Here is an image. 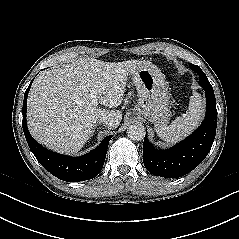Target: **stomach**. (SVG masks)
Returning a JSON list of instances; mask_svg holds the SVG:
<instances>
[{
  "mask_svg": "<svg viewBox=\"0 0 239 239\" xmlns=\"http://www.w3.org/2000/svg\"><path fill=\"white\" fill-rule=\"evenodd\" d=\"M137 89L135 113L155 127L166 125L170 117L168 86L161 71L148 62H138L130 74Z\"/></svg>",
  "mask_w": 239,
  "mask_h": 239,
  "instance_id": "0dacf381",
  "label": "stomach"
}]
</instances>
